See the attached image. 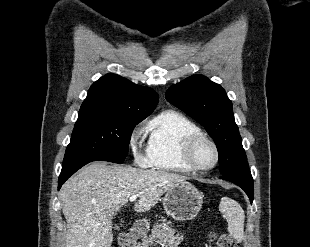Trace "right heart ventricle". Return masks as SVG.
Segmentation results:
<instances>
[{
    "label": "right heart ventricle",
    "mask_w": 310,
    "mask_h": 247,
    "mask_svg": "<svg viewBox=\"0 0 310 247\" xmlns=\"http://www.w3.org/2000/svg\"><path fill=\"white\" fill-rule=\"evenodd\" d=\"M201 133L188 117L175 110H164L154 116L146 126V152L150 166L167 171L188 173L191 170L182 158L186 139Z\"/></svg>",
    "instance_id": "e07e8e85"
}]
</instances>
